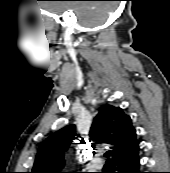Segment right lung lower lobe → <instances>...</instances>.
Wrapping results in <instances>:
<instances>
[{"label": "right lung lower lobe", "mask_w": 170, "mask_h": 173, "mask_svg": "<svg viewBox=\"0 0 170 173\" xmlns=\"http://www.w3.org/2000/svg\"><path fill=\"white\" fill-rule=\"evenodd\" d=\"M139 146L138 143L113 158L114 173H142L139 170Z\"/></svg>", "instance_id": "1"}]
</instances>
